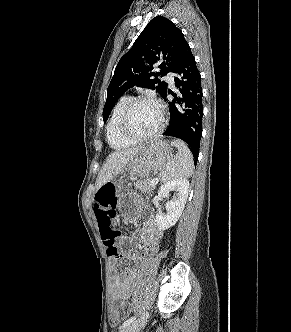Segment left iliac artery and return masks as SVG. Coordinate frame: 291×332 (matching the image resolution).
I'll return each instance as SVG.
<instances>
[{"label": "left iliac artery", "mask_w": 291, "mask_h": 332, "mask_svg": "<svg viewBox=\"0 0 291 332\" xmlns=\"http://www.w3.org/2000/svg\"><path fill=\"white\" fill-rule=\"evenodd\" d=\"M135 319H136L135 316H133V317L127 319V320H126V321L120 326V328H124V327L130 325L132 322L135 321Z\"/></svg>", "instance_id": "44dca946"}]
</instances>
